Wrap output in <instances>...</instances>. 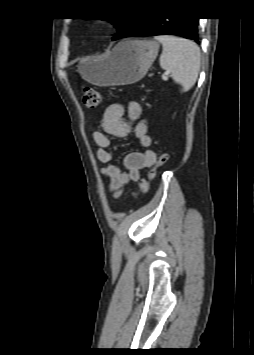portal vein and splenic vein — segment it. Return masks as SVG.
Here are the masks:
<instances>
[{
	"label": "portal vein and splenic vein",
	"mask_w": 254,
	"mask_h": 355,
	"mask_svg": "<svg viewBox=\"0 0 254 355\" xmlns=\"http://www.w3.org/2000/svg\"><path fill=\"white\" fill-rule=\"evenodd\" d=\"M170 74V72L166 71L162 74L163 79H167V76Z\"/></svg>",
	"instance_id": "obj_1"
}]
</instances>
